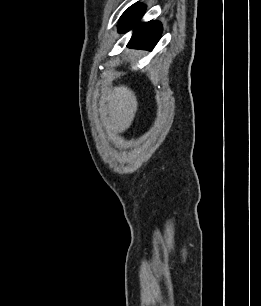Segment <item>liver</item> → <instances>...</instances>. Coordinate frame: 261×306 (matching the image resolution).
Listing matches in <instances>:
<instances>
[{"label":"liver","mask_w":261,"mask_h":306,"mask_svg":"<svg viewBox=\"0 0 261 306\" xmlns=\"http://www.w3.org/2000/svg\"><path fill=\"white\" fill-rule=\"evenodd\" d=\"M137 109L135 93L121 85L102 94L99 112L108 132H124L132 124Z\"/></svg>","instance_id":"liver-1"}]
</instances>
